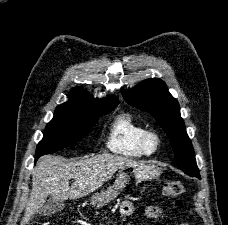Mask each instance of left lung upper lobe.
I'll return each mask as SVG.
<instances>
[{"mask_svg":"<svg viewBox=\"0 0 228 225\" xmlns=\"http://www.w3.org/2000/svg\"><path fill=\"white\" fill-rule=\"evenodd\" d=\"M122 94L131 106L150 113L158 121L172 143L175 166L190 176L200 178L178 101L168 92L166 84L158 78H151L127 92L122 91Z\"/></svg>","mask_w":228,"mask_h":225,"instance_id":"1","label":"left lung upper lobe"}]
</instances>
